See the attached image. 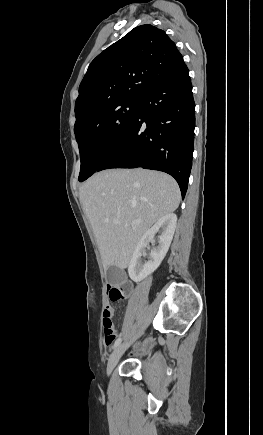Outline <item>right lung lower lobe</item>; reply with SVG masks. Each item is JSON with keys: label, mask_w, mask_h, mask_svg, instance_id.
I'll use <instances>...</instances> for the list:
<instances>
[{"label": "right lung lower lobe", "mask_w": 263, "mask_h": 435, "mask_svg": "<svg viewBox=\"0 0 263 435\" xmlns=\"http://www.w3.org/2000/svg\"><path fill=\"white\" fill-rule=\"evenodd\" d=\"M195 103L185 63L150 90L117 147L97 171L109 168L159 170L173 176L184 198L192 167Z\"/></svg>", "instance_id": "1"}]
</instances>
